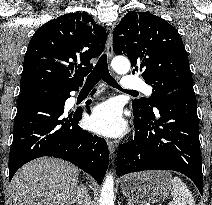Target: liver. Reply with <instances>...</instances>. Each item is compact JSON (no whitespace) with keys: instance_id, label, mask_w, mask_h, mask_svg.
<instances>
[{"instance_id":"liver-1","label":"liver","mask_w":212,"mask_h":205,"mask_svg":"<svg viewBox=\"0 0 212 205\" xmlns=\"http://www.w3.org/2000/svg\"><path fill=\"white\" fill-rule=\"evenodd\" d=\"M79 170L56 158H38L21 167L10 187L14 205H72Z\"/></svg>"}]
</instances>
